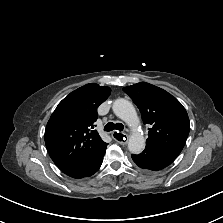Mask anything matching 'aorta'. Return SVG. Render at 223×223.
Segmentation results:
<instances>
[{
    "mask_svg": "<svg viewBox=\"0 0 223 223\" xmlns=\"http://www.w3.org/2000/svg\"><path fill=\"white\" fill-rule=\"evenodd\" d=\"M114 114L126 122L132 129L128 142V149L133 154H140L145 148V139L137 128L139 126V117L133 104L123 98L114 101L112 106Z\"/></svg>",
    "mask_w": 223,
    "mask_h": 223,
    "instance_id": "762f6f07",
    "label": "aorta"
}]
</instances>
